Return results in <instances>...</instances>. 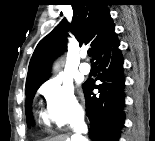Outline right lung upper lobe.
Returning a JSON list of instances; mask_svg holds the SVG:
<instances>
[{"mask_svg": "<svg viewBox=\"0 0 155 141\" xmlns=\"http://www.w3.org/2000/svg\"><path fill=\"white\" fill-rule=\"evenodd\" d=\"M71 32L82 44H90L93 56L104 40L114 33V23L104 0H75ZM69 24L64 18L37 45L29 63L26 88L47 80L53 59L64 51Z\"/></svg>", "mask_w": 155, "mask_h": 141, "instance_id": "obj_1", "label": "right lung upper lobe"}]
</instances>
